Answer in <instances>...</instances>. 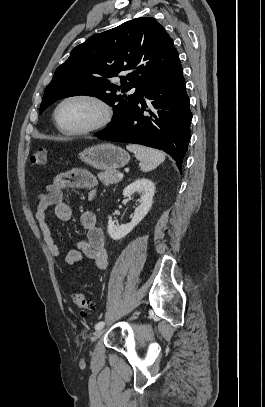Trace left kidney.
<instances>
[{
  "label": "left kidney",
  "instance_id": "5707ae66",
  "mask_svg": "<svg viewBox=\"0 0 265 407\" xmlns=\"http://www.w3.org/2000/svg\"><path fill=\"white\" fill-rule=\"evenodd\" d=\"M135 192L142 194L140 205L135 209L132 220L128 224L116 225L112 217L108 216V234L113 240H120L129 234L136 225L147 215L155 192V186L151 180L140 178L129 184L124 190V197H131Z\"/></svg>",
  "mask_w": 265,
  "mask_h": 407
}]
</instances>
